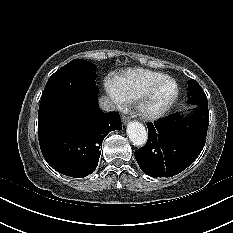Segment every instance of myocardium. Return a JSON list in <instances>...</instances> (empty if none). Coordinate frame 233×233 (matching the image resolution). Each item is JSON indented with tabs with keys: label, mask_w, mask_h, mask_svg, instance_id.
Instances as JSON below:
<instances>
[{
	"label": "myocardium",
	"mask_w": 233,
	"mask_h": 233,
	"mask_svg": "<svg viewBox=\"0 0 233 233\" xmlns=\"http://www.w3.org/2000/svg\"><path fill=\"white\" fill-rule=\"evenodd\" d=\"M171 83L174 87V92L171 97L161 106L150 109L148 104L152 99L158 88L165 84ZM179 97V86L175 79L171 77H163L162 79L153 83L138 99H136L135 108L138 116L146 121H156L162 118L175 104Z\"/></svg>",
	"instance_id": "obj_1"
}]
</instances>
